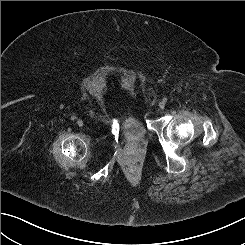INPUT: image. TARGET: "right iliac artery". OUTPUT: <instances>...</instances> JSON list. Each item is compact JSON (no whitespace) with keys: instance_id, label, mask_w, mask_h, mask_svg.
I'll list each match as a JSON object with an SVG mask.
<instances>
[{"instance_id":"82829eb1","label":"right iliac artery","mask_w":245,"mask_h":245,"mask_svg":"<svg viewBox=\"0 0 245 245\" xmlns=\"http://www.w3.org/2000/svg\"><path fill=\"white\" fill-rule=\"evenodd\" d=\"M76 119V117L73 115L71 116V120L74 121Z\"/></svg>"}]
</instances>
